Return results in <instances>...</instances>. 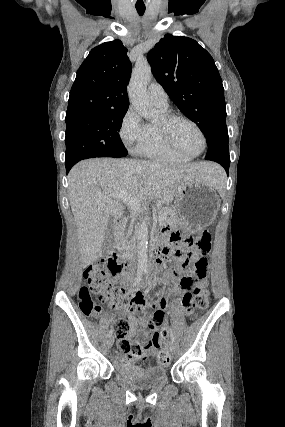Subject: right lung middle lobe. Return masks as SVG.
Listing matches in <instances>:
<instances>
[{"instance_id": "obj_1", "label": "right lung middle lobe", "mask_w": 285, "mask_h": 427, "mask_svg": "<svg viewBox=\"0 0 285 427\" xmlns=\"http://www.w3.org/2000/svg\"><path fill=\"white\" fill-rule=\"evenodd\" d=\"M126 112L112 110L65 120L66 167L87 158L127 156L118 133Z\"/></svg>"}]
</instances>
